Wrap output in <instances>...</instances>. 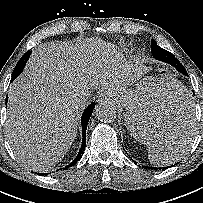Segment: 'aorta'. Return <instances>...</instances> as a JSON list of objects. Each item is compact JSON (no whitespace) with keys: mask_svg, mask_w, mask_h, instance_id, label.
Masks as SVG:
<instances>
[{"mask_svg":"<svg viewBox=\"0 0 203 203\" xmlns=\"http://www.w3.org/2000/svg\"><path fill=\"white\" fill-rule=\"evenodd\" d=\"M95 114L100 121L110 123L116 119V108L110 103H101L96 107Z\"/></svg>","mask_w":203,"mask_h":203,"instance_id":"aorta-1","label":"aorta"}]
</instances>
